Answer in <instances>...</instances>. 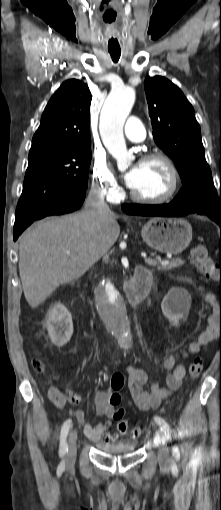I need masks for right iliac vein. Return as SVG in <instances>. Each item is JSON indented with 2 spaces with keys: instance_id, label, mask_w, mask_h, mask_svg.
<instances>
[{
  "instance_id": "right-iliac-vein-1",
  "label": "right iliac vein",
  "mask_w": 221,
  "mask_h": 510,
  "mask_svg": "<svg viewBox=\"0 0 221 510\" xmlns=\"http://www.w3.org/2000/svg\"><path fill=\"white\" fill-rule=\"evenodd\" d=\"M77 432L75 430L71 431L68 438V454L66 458V463L68 466H71L75 462L76 453H77Z\"/></svg>"
}]
</instances>
